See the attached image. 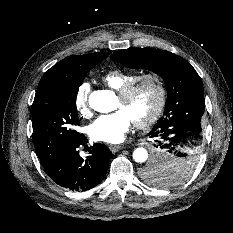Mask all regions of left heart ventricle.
Returning <instances> with one entry per match:
<instances>
[{"instance_id":"1","label":"left heart ventricle","mask_w":233,"mask_h":233,"mask_svg":"<svg viewBox=\"0 0 233 233\" xmlns=\"http://www.w3.org/2000/svg\"><path fill=\"white\" fill-rule=\"evenodd\" d=\"M156 88L151 81L141 82L129 99L117 98L116 108L125 110L133 121L146 118L156 102Z\"/></svg>"}]
</instances>
